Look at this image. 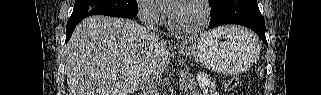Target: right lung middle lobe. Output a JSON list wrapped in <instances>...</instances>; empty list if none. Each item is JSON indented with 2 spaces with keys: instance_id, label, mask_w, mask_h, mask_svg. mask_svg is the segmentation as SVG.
Wrapping results in <instances>:
<instances>
[{
  "instance_id": "dd1d6c3e",
  "label": "right lung middle lobe",
  "mask_w": 321,
  "mask_h": 95,
  "mask_svg": "<svg viewBox=\"0 0 321 95\" xmlns=\"http://www.w3.org/2000/svg\"><path fill=\"white\" fill-rule=\"evenodd\" d=\"M136 0H76L71 16L77 15H126L137 16Z\"/></svg>"
}]
</instances>
